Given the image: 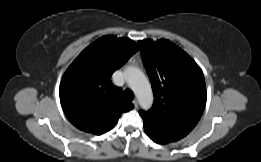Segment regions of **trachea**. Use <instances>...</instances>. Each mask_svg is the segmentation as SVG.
<instances>
[{"mask_svg":"<svg viewBox=\"0 0 261 162\" xmlns=\"http://www.w3.org/2000/svg\"><path fill=\"white\" fill-rule=\"evenodd\" d=\"M125 100L132 101L134 99V94L130 89H125L123 92Z\"/></svg>","mask_w":261,"mask_h":162,"instance_id":"obj_1","label":"trachea"}]
</instances>
